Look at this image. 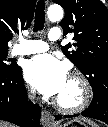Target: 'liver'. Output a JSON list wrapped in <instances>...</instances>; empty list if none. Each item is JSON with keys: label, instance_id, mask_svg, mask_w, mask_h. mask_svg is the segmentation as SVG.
Masks as SVG:
<instances>
[{"label": "liver", "instance_id": "6515ba94", "mask_svg": "<svg viewBox=\"0 0 108 127\" xmlns=\"http://www.w3.org/2000/svg\"><path fill=\"white\" fill-rule=\"evenodd\" d=\"M83 121L87 122V123H92L90 120L82 118ZM0 127H14V125L6 123V122H0Z\"/></svg>", "mask_w": 108, "mask_h": 127}]
</instances>
